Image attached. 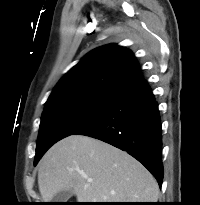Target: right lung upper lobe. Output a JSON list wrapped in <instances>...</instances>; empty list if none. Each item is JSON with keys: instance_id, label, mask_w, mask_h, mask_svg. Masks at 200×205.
Masks as SVG:
<instances>
[{"instance_id": "1", "label": "right lung upper lobe", "mask_w": 200, "mask_h": 205, "mask_svg": "<svg viewBox=\"0 0 200 205\" xmlns=\"http://www.w3.org/2000/svg\"><path fill=\"white\" fill-rule=\"evenodd\" d=\"M143 80L133 53L114 44L88 53L56 85L46 107L74 97L116 99Z\"/></svg>"}]
</instances>
